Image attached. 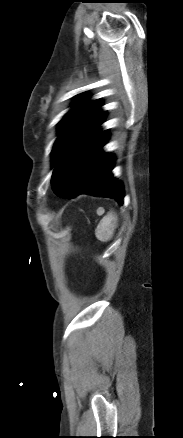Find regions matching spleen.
Here are the masks:
<instances>
[{"mask_svg":"<svg viewBox=\"0 0 183 438\" xmlns=\"http://www.w3.org/2000/svg\"><path fill=\"white\" fill-rule=\"evenodd\" d=\"M116 227H117V216L111 210L99 222L95 230L96 238L101 242H107L111 240V238L114 235V231Z\"/></svg>","mask_w":183,"mask_h":438,"instance_id":"spleen-1","label":"spleen"}]
</instances>
